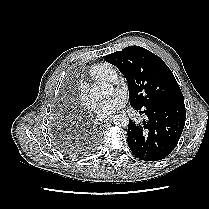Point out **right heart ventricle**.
I'll list each match as a JSON object with an SVG mask.
<instances>
[{"instance_id":"right-heart-ventricle-1","label":"right heart ventricle","mask_w":209,"mask_h":209,"mask_svg":"<svg viewBox=\"0 0 209 209\" xmlns=\"http://www.w3.org/2000/svg\"><path fill=\"white\" fill-rule=\"evenodd\" d=\"M116 73L115 68L108 63H99L92 66L89 76L98 81H110L111 76Z\"/></svg>"}]
</instances>
